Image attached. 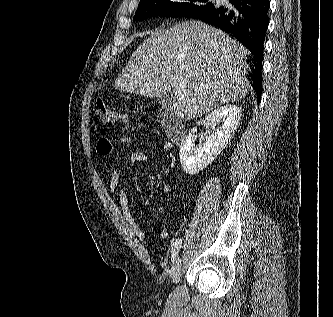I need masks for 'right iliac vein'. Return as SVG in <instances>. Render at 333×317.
Returning <instances> with one entry per match:
<instances>
[{
	"mask_svg": "<svg viewBox=\"0 0 333 317\" xmlns=\"http://www.w3.org/2000/svg\"><path fill=\"white\" fill-rule=\"evenodd\" d=\"M181 267H182V261H181V258L178 257L177 260H176L175 265L172 268V274H171L172 281L175 284L178 283L179 280H180Z\"/></svg>",
	"mask_w": 333,
	"mask_h": 317,
	"instance_id": "63e3f726",
	"label": "right iliac vein"
}]
</instances>
